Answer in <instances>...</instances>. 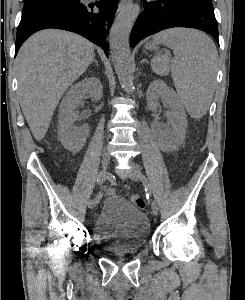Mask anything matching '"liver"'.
Listing matches in <instances>:
<instances>
[{
  "mask_svg": "<svg viewBox=\"0 0 245 300\" xmlns=\"http://www.w3.org/2000/svg\"><path fill=\"white\" fill-rule=\"evenodd\" d=\"M94 57L91 42L63 30L39 31L22 45L16 57L18 93L36 140L45 137L62 95Z\"/></svg>",
  "mask_w": 245,
  "mask_h": 300,
  "instance_id": "obj_1",
  "label": "liver"
}]
</instances>
